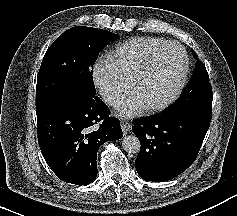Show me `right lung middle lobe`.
Listing matches in <instances>:
<instances>
[{
  "label": "right lung middle lobe",
  "instance_id": "obj_1",
  "mask_svg": "<svg viewBox=\"0 0 237 216\" xmlns=\"http://www.w3.org/2000/svg\"><path fill=\"white\" fill-rule=\"evenodd\" d=\"M117 37L106 30L83 26L60 35L46 51L40 66L36 113L70 96H95L91 68L101 50Z\"/></svg>",
  "mask_w": 237,
  "mask_h": 216
}]
</instances>
